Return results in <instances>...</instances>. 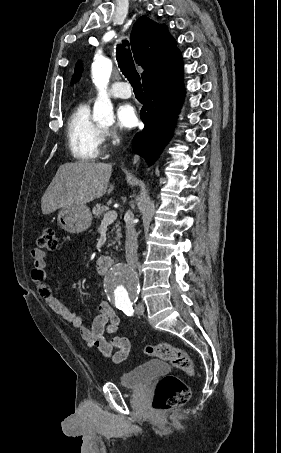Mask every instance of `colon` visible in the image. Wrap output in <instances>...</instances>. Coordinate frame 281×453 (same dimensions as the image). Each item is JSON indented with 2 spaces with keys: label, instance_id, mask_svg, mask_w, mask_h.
<instances>
[{
  "label": "colon",
  "instance_id": "5ec220e1",
  "mask_svg": "<svg viewBox=\"0 0 281 453\" xmlns=\"http://www.w3.org/2000/svg\"><path fill=\"white\" fill-rule=\"evenodd\" d=\"M57 226H46L38 239L37 245L41 250H54L56 247ZM151 357H157L162 362L169 363L179 369L183 375L192 377L197 373V367L188 354L169 344L152 345L146 349ZM190 399V390L179 374L164 375L155 386L152 407L158 413H166Z\"/></svg>",
  "mask_w": 281,
  "mask_h": 453
}]
</instances>
